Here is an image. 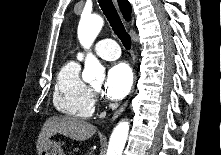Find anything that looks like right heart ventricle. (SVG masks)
Masks as SVG:
<instances>
[{
    "label": "right heart ventricle",
    "mask_w": 221,
    "mask_h": 155,
    "mask_svg": "<svg viewBox=\"0 0 221 155\" xmlns=\"http://www.w3.org/2000/svg\"><path fill=\"white\" fill-rule=\"evenodd\" d=\"M53 104L68 116L88 118L94 111V98L88 84L80 76V64L71 60L57 74Z\"/></svg>",
    "instance_id": "1"
}]
</instances>
